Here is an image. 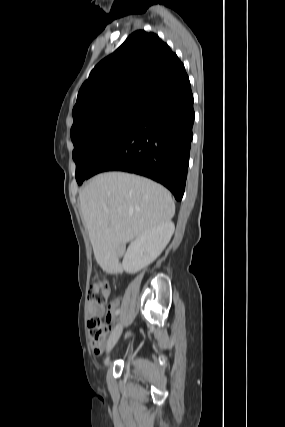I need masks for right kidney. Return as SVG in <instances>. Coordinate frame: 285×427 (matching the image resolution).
Returning a JSON list of instances; mask_svg holds the SVG:
<instances>
[{"instance_id":"1","label":"right kidney","mask_w":285,"mask_h":427,"mask_svg":"<svg viewBox=\"0 0 285 427\" xmlns=\"http://www.w3.org/2000/svg\"><path fill=\"white\" fill-rule=\"evenodd\" d=\"M174 230V223L167 221L150 228L131 242L123 258L125 272L135 274L150 265L167 246Z\"/></svg>"}]
</instances>
